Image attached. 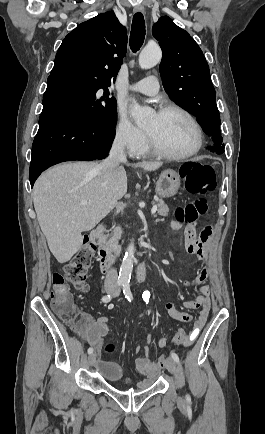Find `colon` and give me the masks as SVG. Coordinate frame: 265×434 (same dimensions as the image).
<instances>
[{"label":"colon","mask_w":265,"mask_h":434,"mask_svg":"<svg viewBox=\"0 0 265 434\" xmlns=\"http://www.w3.org/2000/svg\"><path fill=\"white\" fill-rule=\"evenodd\" d=\"M183 179L186 181V191L190 194L205 195L215 189V170L211 165H201L193 162L192 159L185 160ZM208 215V204L205 198L190 202L179 207L174 213V219L179 223L198 225L200 216ZM91 267V255L86 252H79L72 262L64 267L63 272L53 275L51 285L52 305L60 316L62 327H76V314L71 304L66 300L70 285L80 291H87V273ZM187 338L184 330H181L174 337L175 344H181ZM106 353H113L116 346L112 343L105 344L103 348ZM170 354V351H167ZM163 356L157 357L160 369H165Z\"/></svg>","instance_id":"5ec220e1"}]
</instances>
